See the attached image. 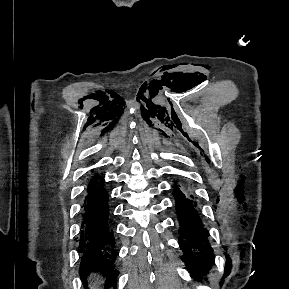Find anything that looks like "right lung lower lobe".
I'll return each mask as SVG.
<instances>
[{
	"mask_svg": "<svg viewBox=\"0 0 289 289\" xmlns=\"http://www.w3.org/2000/svg\"><path fill=\"white\" fill-rule=\"evenodd\" d=\"M108 192L103 188L102 177L96 175L88 185L82 206V230L79 251L83 253L80 273L101 272L107 276V289L116 283L119 271L116 269V241L114 222L108 203Z\"/></svg>",
	"mask_w": 289,
	"mask_h": 289,
	"instance_id": "98d812e1",
	"label": "right lung lower lobe"
}]
</instances>
